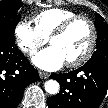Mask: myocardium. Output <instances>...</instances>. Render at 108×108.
Returning a JSON list of instances; mask_svg holds the SVG:
<instances>
[{
    "instance_id": "obj_1",
    "label": "myocardium",
    "mask_w": 108,
    "mask_h": 108,
    "mask_svg": "<svg viewBox=\"0 0 108 108\" xmlns=\"http://www.w3.org/2000/svg\"><path fill=\"white\" fill-rule=\"evenodd\" d=\"M80 21L85 22L89 26L90 32H91L90 41H89V44H88L86 50L84 51V53L81 56H79L78 58H76L74 60L66 62L68 67L81 66L85 62H87L90 59V57L92 56L94 49L96 47L97 37H98L97 28H96L94 21L87 16L76 15L74 17H71V18L65 20L62 24H60L52 32V34L49 37V42L51 43V41L54 38L65 34L75 23L80 22Z\"/></svg>"
}]
</instances>
